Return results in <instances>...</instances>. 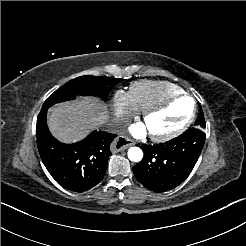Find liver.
Returning <instances> with one entry per match:
<instances>
[{
  "label": "liver",
  "instance_id": "6515ba94",
  "mask_svg": "<svg viewBox=\"0 0 246 246\" xmlns=\"http://www.w3.org/2000/svg\"><path fill=\"white\" fill-rule=\"evenodd\" d=\"M108 119L107 106L98 99L85 97L57 105L52 109L48 125L62 142L73 143L102 125Z\"/></svg>",
  "mask_w": 246,
  "mask_h": 246
}]
</instances>
